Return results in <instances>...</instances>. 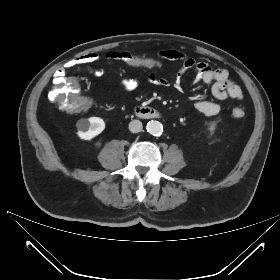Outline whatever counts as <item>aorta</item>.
<instances>
[{
    "instance_id": "aorta-1",
    "label": "aorta",
    "mask_w": 280,
    "mask_h": 280,
    "mask_svg": "<svg viewBox=\"0 0 280 280\" xmlns=\"http://www.w3.org/2000/svg\"><path fill=\"white\" fill-rule=\"evenodd\" d=\"M147 131L154 136H160L163 132V126L160 122L152 120L147 123Z\"/></svg>"
}]
</instances>
